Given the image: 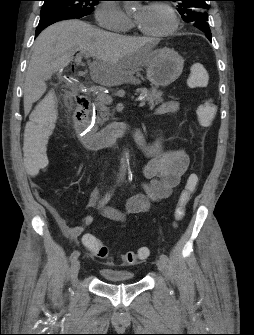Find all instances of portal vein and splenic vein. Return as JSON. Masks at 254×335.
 I'll return each instance as SVG.
<instances>
[{"instance_id":"portal-vein-and-splenic-vein-1","label":"portal vein and splenic vein","mask_w":254,"mask_h":335,"mask_svg":"<svg viewBox=\"0 0 254 335\" xmlns=\"http://www.w3.org/2000/svg\"><path fill=\"white\" fill-rule=\"evenodd\" d=\"M81 58H82L81 55H77L75 61L79 63L81 62ZM92 91L97 94L98 99L102 101L103 103L111 104L113 102V98L109 94H106L104 92H96L95 90H92ZM138 101H139V107H143L145 105V101L143 97H140Z\"/></svg>"}]
</instances>
